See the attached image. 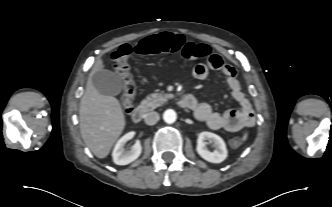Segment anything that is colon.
I'll return each mask as SVG.
<instances>
[{
	"instance_id": "5ec220e1",
	"label": "colon",
	"mask_w": 332,
	"mask_h": 207,
	"mask_svg": "<svg viewBox=\"0 0 332 207\" xmlns=\"http://www.w3.org/2000/svg\"><path fill=\"white\" fill-rule=\"evenodd\" d=\"M133 53H180L187 61L205 57L217 59V55L211 54L210 48L206 44L188 42L181 34L161 33L147 37L135 45L122 44L112 53V60L123 81L121 100L127 113L133 109V101L136 95V84L128 61ZM240 143V139L233 141L234 146Z\"/></svg>"
}]
</instances>
